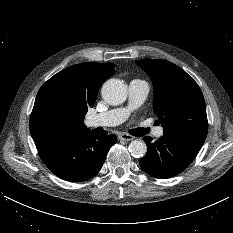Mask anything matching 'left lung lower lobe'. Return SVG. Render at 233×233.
Segmentation results:
<instances>
[{"mask_svg": "<svg viewBox=\"0 0 233 233\" xmlns=\"http://www.w3.org/2000/svg\"><path fill=\"white\" fill-rule=\"evenodd\" d=\"M147 153L140 159L141 168L149 175L166 179L184 171L194 160L205 139L189 135H163L157 141L143 139Z\"/></svg>", "mask_w": 233, "mask_h": 233, "instance_id": "1", "label": "left lung lower lobe"}]
</instances>
